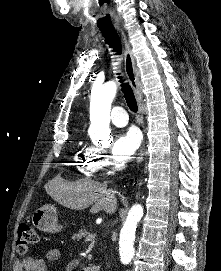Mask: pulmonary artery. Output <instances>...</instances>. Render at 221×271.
<instances>
[{"mask_svg":"<svg viewBox=\"0 0 221 271\" xmlns=\"http://www.w3.org/2000/svg\"><path fill=\"white\" fill-rule=\"evenodd\" d=\"M112 117V122L116 126H126V122H129V117L126 112H123V107H112V112L109 113Z\"/></svg>","mask_w":221,"mask_h":271,"instance_id":"e3ab8cb5","label":"pulmonary artery"}]
</instances>
